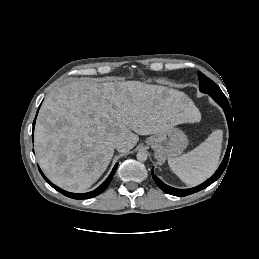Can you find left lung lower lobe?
I'll return each mask as SVG.
<instances>
[{
    "label": "left lung lower lobe",
    "mask_w": 259,
    "mask_h": 259,
    "mask_svg": "<svg viewBox=\"0 0 259 259\" xmlns=\"http://www.w3.org/2000/svg\"><path fill=\"white\" fill-rule=\"evenodd\" d=\"M224 110L225 114H226V118L228 121V126H229V144H228V148L225 154V157L220 165V167L218 168V170L214 173V175L209 178L207 181H205L204 183L198 185L197 187L194 188H190V189H176V188H172L166 184H164L159 178H157L153 171H152V176L153 179L155 180L156 184L159 186V188H161L164 192L171 194V195H175V196H187L190 194H193L195 192H198L206 187H208L209 185H211L213 182H215L223 173V171L226 168L227 162H228V158H229V154L231 151V147L233 144V122H232V111L230 108V105L228 103V100L226 98L225 95L222 96H216V95H212L211 96Z\"/></svg>",
    "instance_id": "0a47b994"
}]
</instances>
